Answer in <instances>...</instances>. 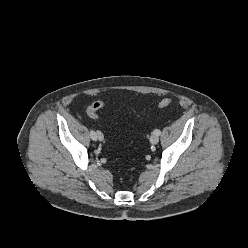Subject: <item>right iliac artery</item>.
Segmentation results:
<instances>
[{
    "instance_id": "obj_1",
    "label": "right iliac artery",
    "mask_w": 248,
    "mask_h": 248,
    "mask_svg": "<svg viewBox=\"0 0 248 248\" xmlns=\"http://www.w3.org/2000/svg\"><path fill=\"white\" fill-rule=\"evenodd\" d=\"M90 136L94 142L97 140V138H96L97 134L94 131H92V130L90 131Z\"/></svg>"
}]
</instances>
